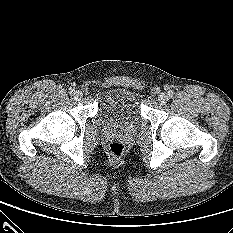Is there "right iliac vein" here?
<instances>
[{"instance_id": "right-iliac-vein-1", "label": "right iliac vein", "mask_w": 233, "mask_h": 233, "mask_svg": "<svg viewBox=\"0 0 233 233\" xmlns=\"http://www.w3.org/2000/svg\"><path fill=\"white\" fill-rule=\"evenodd\" d=\"M74 97L77 99V100H80L82 97H83V93L81 91H75L73 93Z\"/></svg>"}]
</instances>
